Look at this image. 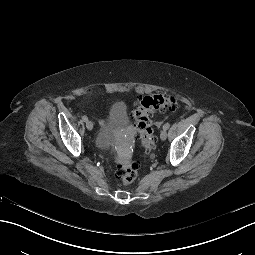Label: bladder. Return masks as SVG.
Returning <instances> with one entry per match:
<instances>
[{
    "mask_svg": "<svg viewBox=\"0 0 255 255\" xmlns=\"http://www.w3.org/2000/svg\"><path fill=\"white\" fill-rule=\"evenodd\" d=\"M107 120L101 129V136L97 139V144L102 148H109L114 145L116 141H119L123 136L122 132L117 133L113 129L112 120L115 117L124 116L127 119L125 103L122 101L113 102L108 106L107 109ZM126 132L128 133V138L131 136L130 127L126 124Z\"/></svg>",
    "mask_w": 255,
    "mask_h": 255,
    "instance_id": "1",
    "label": "bladder"
}]
</instances>
